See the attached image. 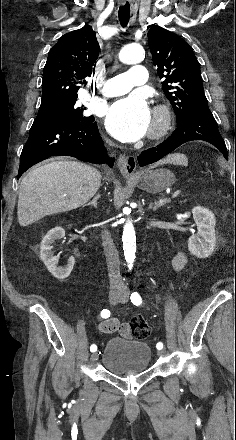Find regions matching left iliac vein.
<instances>
[{
  "label": "left iliac vein",
  "mask_w": 236,
  "mask_h": 440,
  "mask_svg": "<svg viewBox=\"0 0 236 440\" xmlns=\"http://www.w3.org/2000/svg\"><path fill=\"white\" fill-rule=\"evenodd\" d=\"M128 299H129V295H128L127 293H123V294L121 295V297L119 298V302H120V303H126V302H128ZM157 354H158V356H163V355L165 354V352L162 351V350H159V351L157 352Z\"/></svg>",
  "instance_id": "obj_1"
}]
</instances>
